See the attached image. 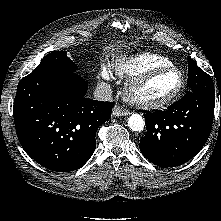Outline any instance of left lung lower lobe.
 <instances>
[{
    "label": "left lung lower lobe",
    "instance_id": "0a47b994",
    "mask_svg": "<svg viewBox=\"0 0 221 221\" xmlns=\"http://www.w3.org/2000/svg\"><path fill=\"white\" fill-rule=\"evenodd\" d=\"M215 97L186 94L167 110L146 112L140 150L153 164L174 167L193 158L205 145L213 123Z\"/></svg>",
    "mask_w": 221,
    "mask_h": 221
}]
</instances>
